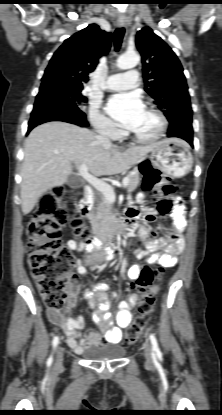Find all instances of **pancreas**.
Masks as SVG:
<instances>
[{"instance_id": "cf45deb5", "label": "pancreas", "mask_w": 222, "mask_h": 415, "mask_svg": "<svg viewBox=\"0 0 222 415\" xmlns=\"http://www.w3.org/2000/svg\"><path fill=\"white\" fill-rule=\"evenodd\" d=\"M135 173L132 175H129V183L127 185V191L128 193L133 192L140 181L139 172L137 170H134ZM115 221V217L113 212L111 211L110 202L107 201V199L102 196L101 197V203L98 208L97 214L91 215V224L93 226L101 225L104 227H111Z\"/></svg>"}]
</instances>
